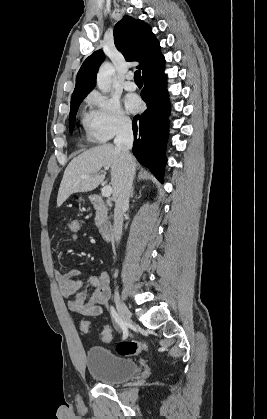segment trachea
Returning <instances> with one entry per match:
<instances>
[{"label":"trachea","instance_id":"trachea-1","mask_svg":"<svg viewBox=\"0 0 267 419\" xmlns=\"http://www.w3.org/2000/svg\"><path fill=\"white\" fill-rule=\"evenodd\" d=\"M134 78H135V81H141L142 80L141 71L140 70H136L135 71Z\"/></svg>","mask_w":267,"mask_h":419}]
</instances>
